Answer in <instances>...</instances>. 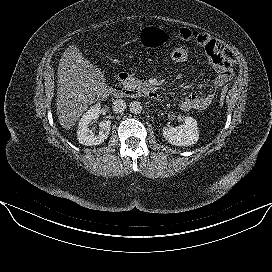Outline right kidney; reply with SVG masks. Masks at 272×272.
I'll return each instance as SVG.
<instances>
[{
  "instance_id": "obj_1",
  "label": "right kidney",
  "mask_w": 272,
  "mask_h": 272,
  "mask_svg": "<svg viewBox=\"0 0 272 272\" xmlns=\"http://www.w3.org/2000/svg\"><path fill=\"white\" fill-rule=\"evenodd\" d=\"M101 105L95 104L87 110L86 113L82 116L79 122V127L77 130V139L80 144L86 146L99 145L104 142L105 139L108 138L111 121L103 120L99 123L100 131L98 135H95L90 129V124L98 119L100 114Z\"/></svg>"
}]
</instances>
